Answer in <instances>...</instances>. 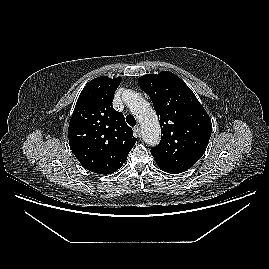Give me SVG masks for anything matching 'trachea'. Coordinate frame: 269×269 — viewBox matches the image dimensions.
<instances>
[{
  "label": "trachea",
  "mask_w": 269,
  "mask_h": 269,
  "mask_svg": "<svg viewBox=\"0 0 269 269\" xmlns=\"http://www.w3.org/2000/svg\"><path fill=\"white\" fill-rule=\"evenodd\" d=\"M126 122L132 127L136 125V120L133 115H127Z\"/></svg>",
  "instance_id": "obj_1"
}]
</instances>
